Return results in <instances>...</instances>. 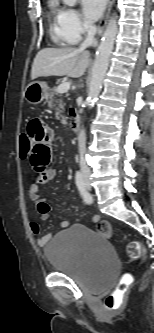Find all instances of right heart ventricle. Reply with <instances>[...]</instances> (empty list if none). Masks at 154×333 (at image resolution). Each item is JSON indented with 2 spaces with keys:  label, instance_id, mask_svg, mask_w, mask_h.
Here are the masks:
<instances>
[{
  "label": "right heart ventricle",
  "instance_id": "obj_1",
  "mask_svg": "<svg viewBox=\"0 0 154 333\" xmlns=\"http://www.w3.org/2000/svg\"><path fill=\"white\" fill-rule=\"evenodd\" d=\"M63 9L53 3L49 11V28L52 39L61 46L71 44L65 36L62 24Z\"/></svg>",
  "mask_w": 154,
  "mask_h": 333
}]
</instances>
